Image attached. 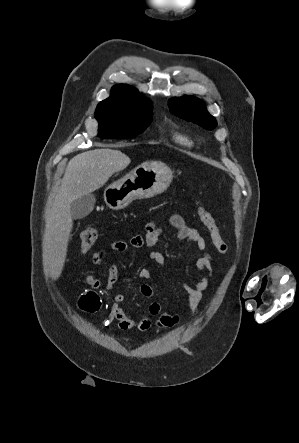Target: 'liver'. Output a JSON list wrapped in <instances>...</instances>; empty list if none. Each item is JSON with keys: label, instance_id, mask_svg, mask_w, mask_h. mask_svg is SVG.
I'll return each instance as SVG.
<instances>
[{"label": "liver", "instance_id": "obj_1", "mask_svg": "<svg viewBox=\"0 0 299 443\" xmlns=\"http://www.w3.org/2000/svg\"><path fill=\"white\" fill-rule=\"evenodd\" d=\"M130 162L127 155L111 148L89 150L69 161L46 217L45 261L53 280L60 277L65 264L73 228L72 201L102 187L115 172L125 169Z\"/></svg>", "mask_w": 299, "mask_h": 443}]
</instances>
